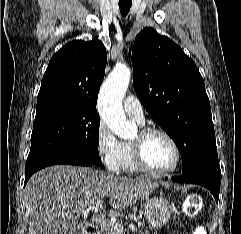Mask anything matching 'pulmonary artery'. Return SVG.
Listing matches in <instances>:
<instances>
[{"instance_id": "1", "label": "pulmonary artery", "mask_w": 241, "mask_h": 234, "mask_svg": "<svg viewBox=\"0 0 241 234\" xmlns=\"http://www.w3.org/2000/svg\"><path fill=\"white\" fill-rule=\"evenodd\" d=\"M123 106L124 110L131 118L136 120L140 125L144 124L143 109L137 97L128 95L124 100Z\"/></svg>"}]
</instances>
